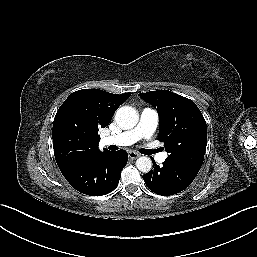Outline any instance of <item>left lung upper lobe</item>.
Wrapping results in <instances>:
<instances>
[{
  "mask_svg": "<svg viewBox=\"0 0 257 257\" xmlns=\"http://www.w3.org/2000/svg\"><path fill=\"white\" fill-rule=\"evenodd\" d=\"M139 96L159 113V141L168 158L201 168L207 145V126L196 104L168 90L150 91Z\"/></svg>",
  "mask_w": 257,
  "mask_h": 257,
  "instance_id": "left-lung-upper-lobe-1",
  "label": "left lung upper lobe"
}]
</instances>
